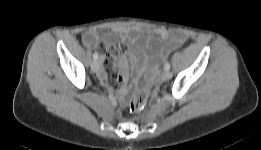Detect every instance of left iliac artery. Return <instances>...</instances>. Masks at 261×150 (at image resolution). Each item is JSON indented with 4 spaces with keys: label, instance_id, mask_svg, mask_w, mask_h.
Segmentation results:
<instances>
[{
    "label": "left iliac artery",
    "instance_id": "44dca946",
    "mask_svg": "<svg viewBox=\"0 0 261 150\" xmlns=\"http://www.w3.org/2000/svg\"><path fill=\"white\" fill-rule=\"evenodd\" d=\"M164 69H165L166 71H168V70L170 69V64H169V63H166L165 66H164Z\"/></svg>",
    "mask_w": 261,
    "mask_h": 150
}]
</instances>
